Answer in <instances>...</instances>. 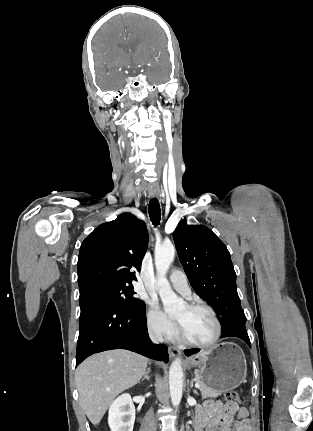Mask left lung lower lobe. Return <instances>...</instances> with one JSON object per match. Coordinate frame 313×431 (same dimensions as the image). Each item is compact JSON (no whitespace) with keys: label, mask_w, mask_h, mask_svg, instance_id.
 <instances>
[{"label":"left lung lower lobe","mask_w":313,"mask_h":431,"mask_svg":"<svg viewBox=\"0 0 313 431\" xmlns=\"http://www.w3.org/2000/svg\"><path fill=\"white\" fill-rule=\"evenodd\" d=\"M224 337L240 338L243 341H245L249 345V347H251L250 339L245 329V326L239 325V326H234L232 328L227 329L226 331L222 332L221 338H224ZM197 352H199V349H189L184 351L186 356H191Z\"/></svg>","instance_id":"obj_1"}]
</instances>
